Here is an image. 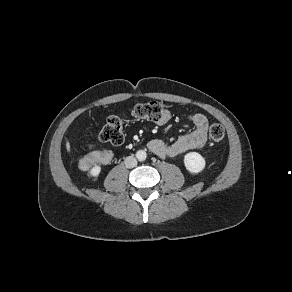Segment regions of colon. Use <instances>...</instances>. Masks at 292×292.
<instances>
[{
    "instance_id": "colon-1",
    "label": "colon",
    "mask_w": 292,
    "mask_h": 292,
    "mask_svg": "<svg viewBox=\"0 0 292 292\" xmlns=\"http://www.w3.org/2000/svg\"><path fill=\"white\" fill-rule=\"evenodd\" d=\"M164 106L156 101L139 103L131 110V116L137 120H147L158 122L165 113ZM123 119L119 116H110L104 127L102 128L99 139L102 142H107L113 145H120L124 141ZM209 136L213 143H220L225 136L224 127L219 123H214L210 126ZM109 151H100L91 154L86 158V163H108L111 160Z\"/></svg>"
}]
</instances>
